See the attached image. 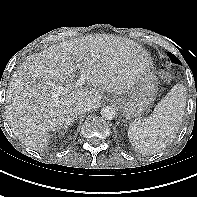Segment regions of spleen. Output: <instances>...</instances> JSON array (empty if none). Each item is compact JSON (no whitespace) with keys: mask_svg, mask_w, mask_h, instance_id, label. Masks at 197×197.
<instances>
[{"mask_svg":"<svg viewBox=\"0 0 197 197\" xmlns=\"http://www.w3.org/2000/svg\"><path fill=\"white\" fill-rule=\"evenodd\" d=\"M186 98L184 85L172 87L149 117L130 124L128 137L131 145L143 154H154L165 148L181 125Z\"/></svg>","mask_w":197,"mask_h":197,"instance_id":"obj_1","label":"spleen"}]
</instances>
